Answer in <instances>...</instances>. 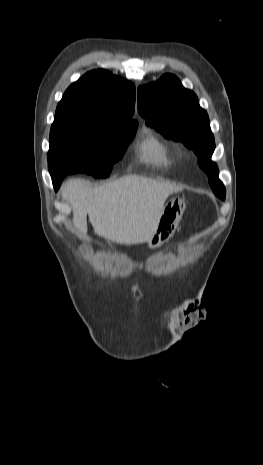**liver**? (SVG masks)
<instances>
[{"instance_id": "1", "label": "liver", "mask_w": 263, "mask_h": 465, "mask_svg": "<svg viewBox=\"0 0 263 465\" xmlns=\"http://www.w3.org/2000/svg\"><path fill=\"white\" fill-rule=\"evenodd\" d=\"M179 191L181 187L139 175H127L96 188L71 179L61 189L82 235L87 233L88 215L97 235L125 245L148 242L166 199Z\"/></svg>"}]
</instances>
